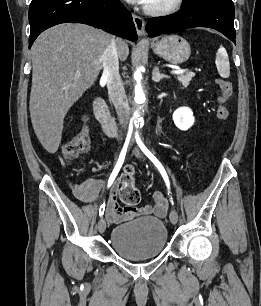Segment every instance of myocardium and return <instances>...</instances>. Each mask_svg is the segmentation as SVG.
Listing matches in <instances>:
<instances>
[{
    "instance_id": "f54148a6",
    "label": "myocardium",
    "mask_w": 261,
    "mask_h": 306,
    "mask_svg": "<svg viewBox=\"0 0 261 306\" xmlns=\"http://www.w3.org/2000/svg\"><path fill=\"white\" fill-rule=\"evenodd\" d=\"M184 0H171L164 6L154 7L146 5L144 10L147 14L153 16H166L177 12L183 5Z\"/></svg>"
}]
</instances>
